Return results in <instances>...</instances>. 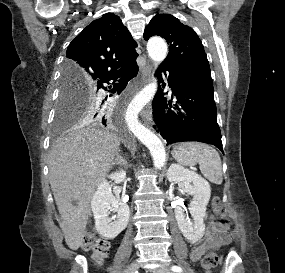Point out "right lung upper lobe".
Returning a JSON list of instances; mask_svg holds the SVG:
<instances>
[{
  "label": "right lung upper lobe",
  "mask_w": 285,
  "mask_h": 273,
  "mask_svg": "<svg viewBox=\"0 0 285 273\" xmlns=\"http://www.w3.org/2000/svg\"><path fill=\"white\" fill-rule=\"evenodd\" d=\"M136 46L121 19L113 13L104 14L69 44L63 71L93 84L108 73L136 62Z\"/></svg>",
  "instance_id": "cb5924a9"
}]
</instances>
